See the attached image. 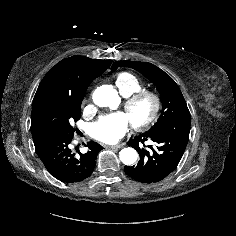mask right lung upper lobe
Here are the masks:
<instances>
[{
  "label": "right lung upper lobe",
  "instance_id": "obj_1",
  "mask_svg": "<svg viewBox=\"0 0 236 236\" xmlns=\"http://www.w3.org/2000/svg\"><path fill=\"white\" fill-rule=\"evenodd\" d=\"M111 62L85 56H72L61 60L39 84L33 100L32 113L47 98L84 95L90 83L100 76Z\"/></svg>",
  "mask_w": 236,
  "mask_h": 236
}]
</instances>
